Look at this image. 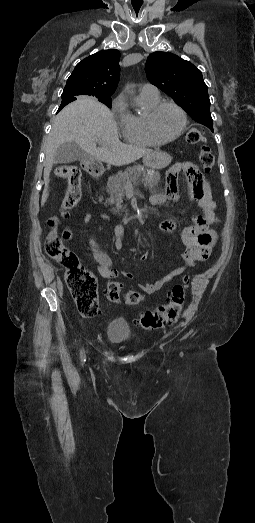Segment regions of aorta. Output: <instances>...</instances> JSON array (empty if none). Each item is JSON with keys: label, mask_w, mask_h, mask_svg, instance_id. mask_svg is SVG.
<instances>
[{"label": "aorta", "mask_w": 255, "mask_h": 523, "mask_svg": "<svg viewBox=\"0 0 255 523\" xmlns=\"http://www.w3.org/2000/svg\"><path fill=\"white\" fill-rule=\"evenodd\" d=\"M128 91L131 93L130 86L127 87Z\"/></svg>", "instance_id": "obj_1"}]
</instances>
